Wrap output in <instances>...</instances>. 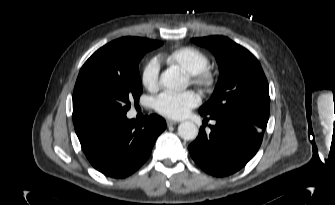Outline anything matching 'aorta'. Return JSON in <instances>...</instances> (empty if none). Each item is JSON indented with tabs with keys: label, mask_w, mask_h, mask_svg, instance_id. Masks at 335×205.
I'll list each match as a JSON object with an SVG mask.
<instances>
[{
	"label": "aorta",
	"mask_w": 335,
	"mask_h": 205,
	"mask_svg": "<svg viewBox=\"0 0 335 205\" xmlns=\"http://www.w3.org/2000/svg\"><path fill=\"white\" fill-rule=\"evenodd\" d=\"M160 83L169 89L182 90L186 88V80L175 68H169L161 74ZM178 135L184 140H193L198 135L197 126L190 121L178 126Z\"/></svg>",
	"instance_id": "762f6f07"
}]
</instances>
